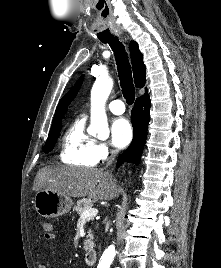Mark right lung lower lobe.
I'll list each match as a JSON object with an SVG mask.
<instances>
[{
  "label": "right lung lower lobe",
  "instance_id": "98d812e1",
  "mask_svg": "<svg viewBox=\"0 0 221 268\" xmlns=\"http://www.w3.org/2000/svg\"><path fill=\"white\" fill-rule=\"evenodd\" d=\"M151 102L149 95H144L136 99L135 106L131 111V122L134 137L131 145L120 155L117 167L123 162L139 164L142 151L147 138V126L150 118Z\"/></svg>",
  "mask_w": 221,
  "mask_h": 268
}]
</instances>
